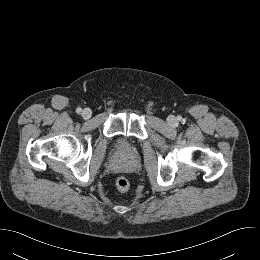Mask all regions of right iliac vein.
Returning a JSON list of instances; mask_svg holds the SVG:
<instances>
[{
  "label": "right iliac vein",
  "mask_w": 260,
  "mask_h": 260,
  "mask_svg": "<svg viewBox=\"0 0 260 260\" xmlns=\"http://www.w3.org/2000/svg\"><path fill=\"white\" fill-rule=\"evenodd\" d=\"M91 116H92V111H91L89 108H85V109L82 111V117H83V119L88 120Z\"/></svg>",
  "instance_id": "1"
}]
</instances>
